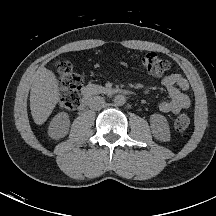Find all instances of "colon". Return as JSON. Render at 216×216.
<instances>
[{
  "mask_svg": "<svg viewBox=\"0 0 216 216\" xmlns=\"http://www.w3.org/2000/svg\"><path fill=\"white\" fill-rule=\"evenodd\" d=\"M136 63L152 75H162L167 72L171 64L156 53H146L134 57ZM57 78L61 86L60 107L64 110H74L80 104V90L82 78L73 71L70 64L63 62L58 66ZM190 124L187 113H180L174 122L177 131H184Z\"/></svg>",
  "mask_w": 216,
  "mask_h": 216,
  "instance_id": "1",
  "label": "colon"
}]
</instances>
